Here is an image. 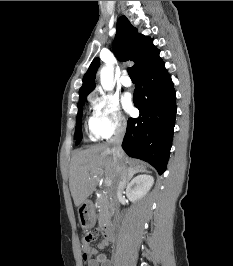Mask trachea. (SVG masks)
Instances as JSON below:
<instances>
[{
  "mask_svg": "<svg viewBox=\"0 0 233 266\" xmlns=\"http://www.w3.org/2000/svg\"><path fill=\"white\" fill-rule=\"evenodd\" d=\"M128 74L131 79H135L134 70L132 68H128Z\"/></svg>",
  "mask_w": 233,
  "mask_h": 266,
  "instance_id": "3493384b",
  "label": "trachea"
}]
</instances>
